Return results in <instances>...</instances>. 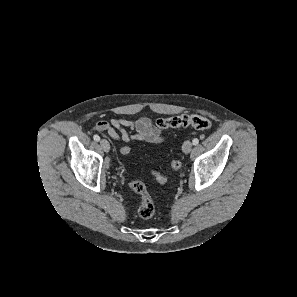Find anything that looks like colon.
<instances>
[{
  "label": "colon",
  "mask_w": 297,
  "mask_h": 297,
  "mask_svg": "<svg viewBox=\"0 0 297 297\" xmlns=\"http://www.w3.org/2000/svg\"><path fill=\"white\" fill-rule=\"evenodd\" d=\"M157 125L162 130L192 127L198 131H208L211 128L210 120L197 114H182L159 119ZM130 150L131 148L129 146H122L120 148V153L122 155H127ZM170 166L173 171H177L180 168L181 163L178 159H173ZM153 176L156 181L161 184H165L169 181L167 176L160 173H153ZM129 186L141 197V203L138 209L139 216L142 219L151 218L154 215L155 208L146 185L141 181L135 180L131 181Z\"/></svg>",
  "instance_id": "obj_1"
}]
</instances>
